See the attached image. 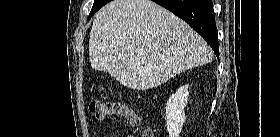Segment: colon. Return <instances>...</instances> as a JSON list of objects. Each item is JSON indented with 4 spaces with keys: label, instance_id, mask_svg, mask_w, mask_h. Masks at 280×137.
Wrapping results in <instances>:
<instances>
[{
    "label": "colon",
    "instance_id": "5ec220e1",
    "mask_svg": "<svg viewBox=\"0 0 280 137\" xmlns=\"http://www.w3.org/2000/svg\"><path fill=\"white\" fill-rule=\"evenodd\" d=\"M89 110L98 120H104L117 114L126 117L132 126H140V120L134 112L118 102L95 100L90 103ZM143 137H153L152 131L146 130Z\"/></svg>",
    "mask_w": 280,
    "mask_h": 137
}]
</instances>
